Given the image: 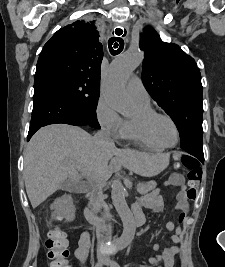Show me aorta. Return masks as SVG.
I'll return each mask as SVG.
<instances>
[{
  "mask_svg": "<svg viewBox=\"0 0 225 267\" xmlns=\"http://www.w3.org/2000/svg\"><path fill=\"white\" fill-rule=\"evenodd\" d=\"M142 60V51L134 49L116 57L110 65L102 93L105 100L119 112H124L130 107L126 93V83L131 73L141 64ZM111 198L124 227L117 245L120 248H124L133 240L136 227L132 212L125 199V188L120 179H116L112 183Z\"/></svg>",
  "mask_w": 225,
  "mask_h": 267,
  "instance_id": "762f6f07",
  "label": "aorta"
}]
</instances>
